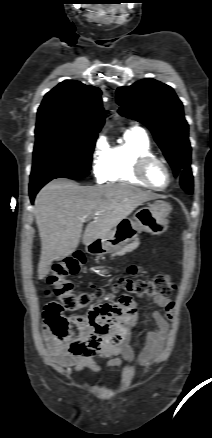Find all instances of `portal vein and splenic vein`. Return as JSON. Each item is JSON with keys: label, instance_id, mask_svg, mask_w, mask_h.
Returning a JSON list of instances; mask_svg holds the SVG:
<instances>
[{"label": "portal vein and splenic vein", "instance_id": "obj_1", "mask_svg": "<svg viewBox=\"0 0 212 438\" xmlns=\"http://www.w3.org/2000/svg\"><path fill=\"white\" fill-rule=\"evenodd\" d=\"M96 216H97V214L93 217V219L96 218ZM86 218H88V217H86Z\"/></svg>", "mask_w": 212, "mask_h": 438}]
</instances>
